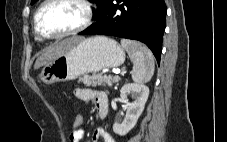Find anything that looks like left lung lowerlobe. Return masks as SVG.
<instances>
[{
    "instance_id": "left-lung-lower-lobe-1",
    "label": "left lung lower lobe",
    "mask_w": 227,
    "mask_h": 142,
    "mask_svg": "<svg viewBox=\"0 0 227 142\" xmlns=\"http://www.w3.org/2000/svg\"><path fill=\"white\" fill-rule=\"evenodd\" d=\"M164 0H109L97 22L80 35H112L145 43L160 62L165 30Z\"/></svg>"
}]
</instances>
